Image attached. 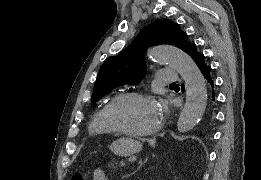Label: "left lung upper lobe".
Here are the masks:
<instances>
[{
	"instance_id": "5c2ea615",
	"label": "left lung upper lobe",
	"mask_w": 261,
	"mask_h": 180,
	"mask_svg": "<svg viewBox=\"0 0 261 180\" xmlns=\"http://www.w3.org/2000/svg\"><path fill=\"white\" fill-rule=\"evenodd\" d=\"M160 44L175 45L186 53L194 45L188 42L187 34L178 24L168 19H158L145 26L118 56L109 57L103 63L94 85L91 102H97L115 87L140 82L146 74L144 61L146 46Z\"/></svg>"
}]
</instances>
